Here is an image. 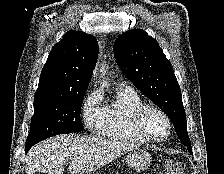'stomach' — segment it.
Masks as SVG:
<instances>
[{"instance_id": "1", "label": "stomach", "mask_w": 224, "mask_h": 174, "mask_svg": "<svg viewBox=\"0 0 224 174\" xmlns=\"http://www.w3.org/2000/svg\"><path fill=\"white\" fill-rule=\"evenodd\" d=\"M127 165L135 171L147 169L152 161L151 154L144 149H134L126 157Z\"/></svg>"}]
</instances>
